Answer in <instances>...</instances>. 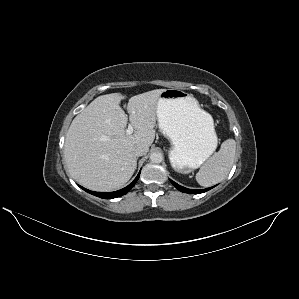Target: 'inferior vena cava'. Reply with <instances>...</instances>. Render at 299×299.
<instances>
[{"label": "inferior vena cava", "mask_w": 299, "mask_h": 299, "mask_svg": "<svg viewBox=\"0 0 299 299\" xmlns=\"http://www.w3.org/2000/svg\"><path fill=\"white\" fill-rule=\"evenodd\" d=\"M148 147L146 145L140 144L134 148L135 156H143L148 152Z\"/></svg>", "instance_id": "1"}]
</instances>
